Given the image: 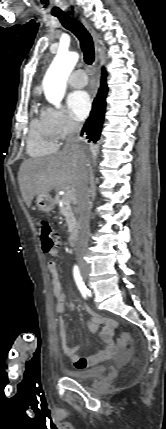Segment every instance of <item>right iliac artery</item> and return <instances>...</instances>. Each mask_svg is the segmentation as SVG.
Listing matches in <instances>:
<instances>
[{
    "instance_id": "obj_1",
    "label": "right iliac artery",
    "mask_w": 166,
    "mask_h": 429,
    "mask_svg": "<svg viewBox=\"0 0 166 429\" xmlns=\"http://www.w3.org/2000/svg\"><path fill=\"white\" fill-rule=\"evenodd\" d=\"M73 276H74V280H75L81 294L83 295L84 298H86V295L88 293V289L86 288L84 282L82 281L80 270H79V267L77 265H75L73 268Z\"/></svg>"
}]
</instances>
